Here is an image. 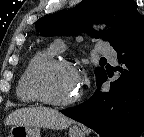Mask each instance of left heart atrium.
Masks as SVG:
<instances>
[{
	"label": "left heart atrium",
	"mask_w": 144,
	"mask_h": 137,
	"mask_svg": "<svg viewBox=\"0 0 144 137\" xmlns=\"http://www.w3.org/2000/svg\"><path fill=\"white\" fill-rule=\"evenodd\" d=\"M78 85H81V79L78 77Z\"/></svg>",
	"instance_id": "1"
}]
</instances>
